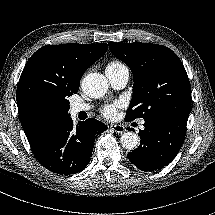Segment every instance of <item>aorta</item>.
<instances>
[{
	"label": "aorta",
	"mask_w": 215,
	"mask_h": 215,
	"mask_svg": "<svg viewBox=\"0 0 215 215\" xmlns=\"http://www.w3.org/2000/svg\"><path fill=\"white\" fill-rule=\"evenodd\" d=\"M108 86L106 78L100 73H90L81 82L82 92L90 98H100L107 92ZM120 143L125 150L133 151L139 145V137L128 131L121 135Z\"/></svg>",
	"instance_id": "1"
}]
</instances>
